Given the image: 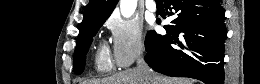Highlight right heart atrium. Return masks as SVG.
<instances>
[{"label": "right heart atrium", "mask_w": 260, "mask_h": 84, "mask_svg": "<svg viewBox=\"0 0 260 84\" xmlns=\"http://www.w3.org/2000/svg\"><path fill=\"white\" fill-rule=\"evenodd\" d=\"M106 27L111 36V58L118 67H128L145 53L146 42L138 22L111 17Z\"/></svg>", "instance_id": "1"}]
</instances>
